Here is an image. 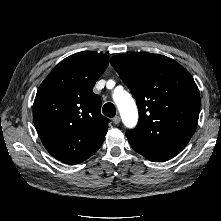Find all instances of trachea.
<instances>
[{
    "label": "trachea",
    "mask_w": 221,
    "mask_h": 221,
    "mask_svg": "<svg viewBox=\"0 0 221 221\" xmlns=\"http://www.w3.org/2000/svg\"><path fill=\"white\" fill-rule=\"evenodd\" d=\"M102 112L105 116L112 118L116 114V108L113 103H106L102 108Z\"/></svg>",
    "instance_id": "obj_1"
}]
</instances>
